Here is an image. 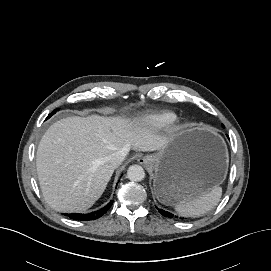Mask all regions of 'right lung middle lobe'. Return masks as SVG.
<instances>
[{"label":"right lung middle lobe","instance_id":"right-lung-middle-lobe-1","mask_svg":"<svg viewBox=\"0 0 271 271\" xmlns=\"http://www.w3.org/2000/svg\"><path fill=\"white\" fill-rule=\"evenodd\" d=\"M56 113V110H54L51 114H49L48 115V117L46 118V119H48V118H50L53 114H55Z\"/></svg>","mask_w":271,"mask_h":271}]
</instances>
